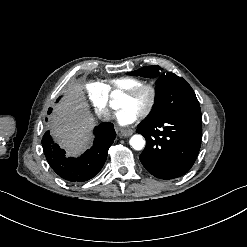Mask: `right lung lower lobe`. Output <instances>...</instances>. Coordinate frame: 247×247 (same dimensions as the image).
<instances>
[{
	"instance_id": "obj_1",
	"label": "right lung lower lobe",
	"mask_w": 247,
	"mask_h": 247,
	"mask_svg": "<svg viewBox=\"0 0 247 247\" xmlns=\"http://www.w3.org/2000/svg\"><path fill=\"white\" fill-rule=\"evenodd\" d=\"M51 111L50 108L48 113ZM94 134L93 146L78 158H67L65 151L53 141L50 132L44 134V154L49 165L61 178L71 182H83L93 178L102 169L116 132L112 123L104 122L95 127Z\"/></svg>"
}]
</instances>
